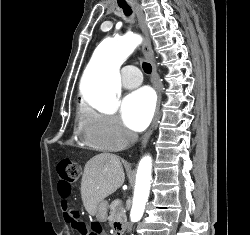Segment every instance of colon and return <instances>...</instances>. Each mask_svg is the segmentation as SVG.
I'll return each instance as SVG.
<instances>
[{
    "mask_svg": "<svg viewBox=\"0 0 250 235\" xmlns=\"http://www.w3.org/2000/svg\"><path fill=\"white\" fill-rule=\"evenodd\" d=\"M57 173L59 176L58 192L62 204L65 205L66 200L72 192L73 184L79 178L80 166L74 161L62 160L57 165ZM64 218L78 233L82 232L86 227L84 223L78 219L73 210H66L64 212Z\"/></svg>",
    "mask_w": 250,
    "mask_h": 235,
    "instance_id": "5ec220e1",
    "label": "colon"
}]
</instances>
